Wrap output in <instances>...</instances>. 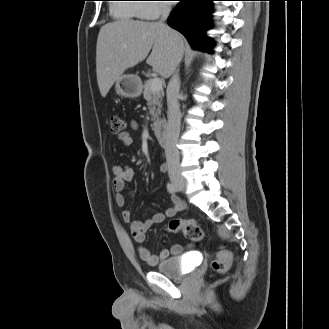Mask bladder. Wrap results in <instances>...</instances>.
I'll return each instance as SVG.
<instances>
[{
    "label": "bladder",
    "mask_w": 329,
    "mask_h": 329,
    "mask_svg": "<svg viewBox=\"0 0 329 329\" xmlns=\"http://www.w3.org/2000/svg\"><path fill=\"white\" fill-rule=\"evenodd\" d=\"M155 270L170 278H181L185 275L183 256H169L157 262Z\"/></svg>",
    "instance_id": "bladder-1"
}]
</instances>
